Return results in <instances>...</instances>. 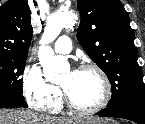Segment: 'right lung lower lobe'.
<instances>
[{
  "label": "right lung lower lobe",
  "mask_w": 145,
  "mask_h": 124,
  "mask_svg": "<svg viewBox=\"0 0 145 124\" xmlns=\"http://www.w3.org/2000/svg\"><path fill=\"white\" fill-rule=\"evenodd\" d=\"M27 107L25 99L20 93L0 94V108Z\"/></svg>",
  "instance_id": "1"
}]
</instances>
